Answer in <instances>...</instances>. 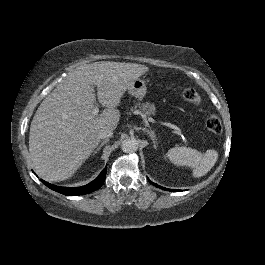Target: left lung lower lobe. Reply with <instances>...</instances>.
Returning a JSON list of instances; mask_svg holds the SVG:
<instances>
[{
  "label": "left lung lower lobe",
  "mask_w": 265,
  "mask_h": 265,
  "mask_svg": "<svg viewBox=\"0 0 265 265\" xmlns=\"http://www.w3.org/2000/svg\"><path fill=\"white\" fill-rule=\"evenodd\" d=\"M149 182H150L152 185H154V186H156V187H159V188H161V189H164V190H168V191H180V190H173V189L163 188V187H161V186H159V185H157V184L151 182L150 180H149Z\"/></svg>",
  "instance_id": "left-lung-lower-lobe-1"
}]
</instances>
